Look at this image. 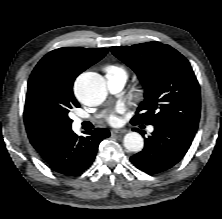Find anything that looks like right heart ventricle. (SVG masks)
<instances>
[{
  "mask_svg": "<svg viewBox=\"0 0 222 219\" xmlns=\"http://www.w3.org/2000/svg\"><path fill=\"white\" fill-rule=\"evenodd\" d=\"M115 70L121 71V72H123V73L126 74L125 70H124L123 68L119 67V66H113V65H112V66H108V67L106 68V71H107V72H109V71H115Z\"/></svg>",
  "mask_w": 222,
  "mask_h": 219,
  "instance_id": "1",
  "label": "right heart ventricle"
}]
</instances>
